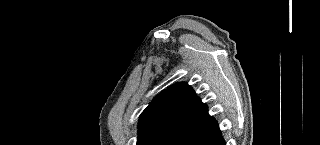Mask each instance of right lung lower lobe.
Instances as JSON below:
<instances>
[{
	"instance_id": "1",
	"label": "right lung lower lobe",
	"mask_w": 320,
	"mask_h": 145,
	"mask_svg": "<svg viewBox=\"0 0 320 145\" xmlns=\"http://www.w3.org/2000/svg\"><path fill=\"white\" fill-rule=\"evenodd\" d=\"M167 145H225L215 119L176 134Z\"/></svg>"
}]
</instances>
